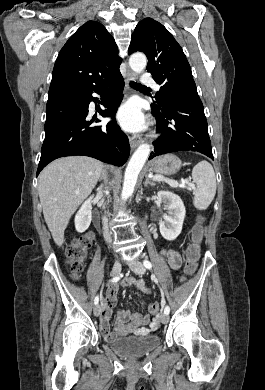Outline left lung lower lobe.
<instances>
[{
    "label": "left lung lower lobe",
    "instance_id": "left-lung-lower-lobe-1",
    "mask_svg": "<svg viewBox=\"0 0 265 390\" xmlns=\"http://www.w3.org/2000/svg\"><path fill=\"white\" fill-rule=\"evenodd\" d=\"M162 106L151 105L160 137L149 159L177 151H195L213 159L204 107L197 92L166 94Z\"/></svg>",
    "mask_w": 265,
    "mask_h": 390
}]
</instances>
